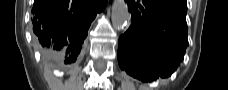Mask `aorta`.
Listing matches in <instances>:
<instances>
[{
  "instance_id": "obj_1",
  "label": "aorta",
  "mask_w": 228,
  "mask_h": 90,
  "mask_svg": "<svg viewBox=\"0 0 228 90\" xmlns=\"http://www.w3.org/2000/svg\"><path fill=\"white\" fill-rule=\"evenodd\" d=\"M111 19L113 27L117 30H123L127 26L130 14L124 0H114Z\"/></svg>"
}]
</instances>
